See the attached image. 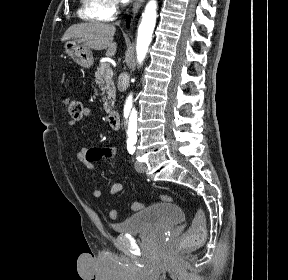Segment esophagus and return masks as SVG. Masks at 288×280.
Segmentation results:
<instances>
[{
  "mask_svg": "<svg viewBox=\"0 0 288 280\" xmlns=\"http://www.w3.org/2000/svg\"><path fill=\"white\" fill-rule=\"evenodd\" d=\"M143 2H144V0H136L135 1L133 8H132L133 14H136L138 12V10L140 9Z\"/></svg>",
  "mask_w": 288,
  "mask_h": 280,
  "instance_id": "obj_1",
  "label": "esophagus"
}]
</instances>
